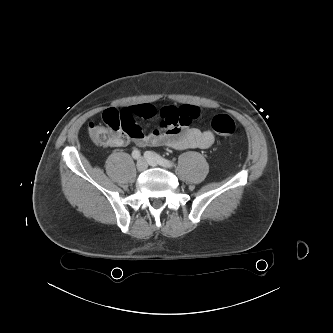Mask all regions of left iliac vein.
Here are the masks:
<instances>
[{"label":"left iliac vein","instance_id":"left-iliac-vein-1","mask_svg":"<svg viewBox=\"0 0 333 333\" xmlns=\"http://www.w3.org/2000/svg\"><path fill=\"white\" fill-rule=\"evenodd\" d=\"M146 161L150 166H153V167H155L159 164L154 157H147Z\"/></svg>","mask_w":333,"mask_h":333}]
</instances>
